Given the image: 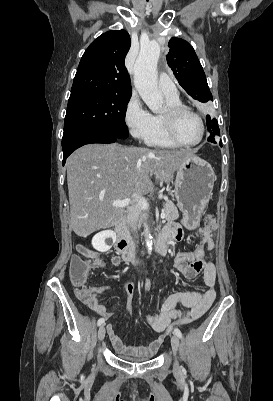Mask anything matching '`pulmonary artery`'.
Masks as SVG:
<instances>
[{"label":"pulmonary artery","instance_id":"e3ab8cb5","mask_svg":"<svg viewBox=\"0 0 273 401\" xmlns=\"http://www.w3.org/2000/svg\"><path fill=\"white\" fill-rule=\"evenodd\" d=\"M162 92L166 97H175L178 94L176 89L177 83L175 80H171V76L169 74H164L162 76Z\"/></svg>","mask_w":273,"mask_h":401}]
</instances>
